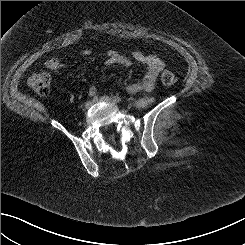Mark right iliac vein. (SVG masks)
Returning a JSON list of instances; mask_svg holds the SVG:
<instances>
[{
  "label": "right iliac vein",
  "mask_w": 245,
  "mask_h": 245,
  "mask_svg": "<svg viewBox=\"0 0 245 245\" xmlns=\"http://www.w3.org/2000/svg\"><path fill=\"white\" fill-rule=\"evenodd\" d=\"M93 105V102L92 101H87L84 105V109L85 110H88L89 108H91V106Z\"/></svg>",
  "instance_id": "63e3f726"
}]
</instances>
